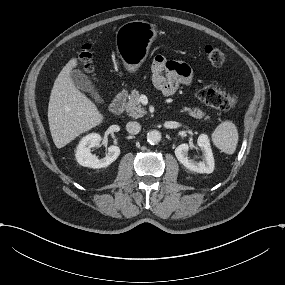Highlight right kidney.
<instances>
[{
    "mask_svg": "<svg viewBox=\"0 0 285 285\" xmlns=\"http://www.w3.org/2000/svg\"><path fill=\"white\" fill-rule=\"evenodd\" d=\"M101 140V136L97 133H90L80 140L75 153L76 160L80 165L90 168H102L107 167L118 158L120 155L118 146H110L108 154L102 159H98L97 156L91 154L90 149L99 145Z\"/></svg>",
    "mask_w": 285,
    "mask_h": 285,
    "instance_id": "obj_1",
    "label": "right kidney"
}]
</instances>
